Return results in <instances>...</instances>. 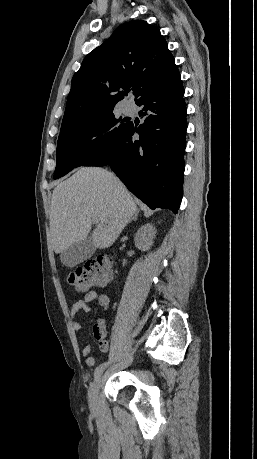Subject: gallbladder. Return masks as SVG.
Segmentation results:
<instances>
[{"label":"gallbladder","instance_id":"1","mask_svg":"<svg viewBox=\"0 0 257 459\" xmlns=\"http://www.w3.org/2000/svg\"><path fill=\"white\" fill-rule=\"evenodd\" d=\"M96 251L91 235L69 247L60 255L61 262L67 267H74L90 258Z\"/></svg>","mask_w":257,"mask_h":459}]
</instances>
